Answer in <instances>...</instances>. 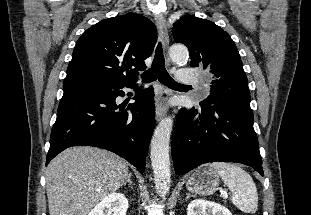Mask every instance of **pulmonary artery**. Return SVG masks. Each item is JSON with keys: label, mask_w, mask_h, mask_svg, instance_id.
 Here are the masks:
<instances>
[{"label": "pulmonary artery", "mask_w": 311, "mask_h": 215, "mask_svg": "<svg viewBox=\"0 0 311 215\" xmlns=\"http://www.w3.org/2000/svg\"><path fill=\"white\" fill-rule=\"evenodd\" d=\"M177 79L181 83H189V84L202 83L204 86H207V84H205L197 75H195L188 69L178 70Z\"/></svg>", "instance_id": "pulmonary-artery-1"}]
</instances>
